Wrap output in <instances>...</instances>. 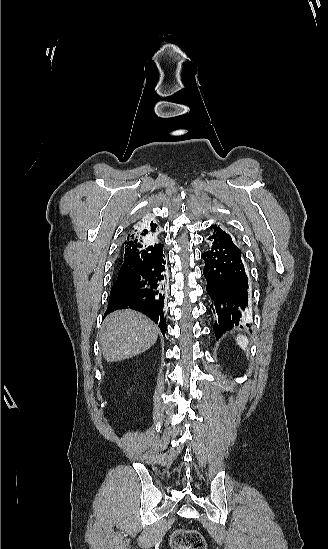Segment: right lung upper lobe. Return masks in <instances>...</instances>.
Wrapping results in <instances>:
<instances>
[{
    "mask_svg": "<svg viewBox=\"0 0 328 549\" xmlns=\"http://www.w3.org/2000/svg\"><path fill=\"white\" fill-rule=\"evenodd\" d=\"M160 241V228L150 217L134 223L124 237L120 249L117 279L130 276L142 265L156 258L163 251Z\"/></svg>",
    "mask_w": 328,
    "mask_h": 549,
    "instance_id": "right-lung-upper-lobe-1",
    "label": "right lung upper lobe"
}]
</instances>
